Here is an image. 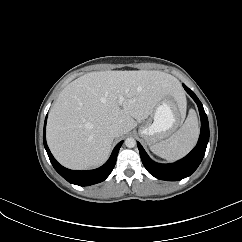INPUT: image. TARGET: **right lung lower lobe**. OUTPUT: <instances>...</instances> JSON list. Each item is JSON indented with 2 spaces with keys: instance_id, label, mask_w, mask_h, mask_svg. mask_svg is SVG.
<instances>
[{
  "instance_id": "1",
  "label": "right lung lower lobe",
  "mask_w": 242,
  "mask_h": 242,
  "mask_svg": "<svg viewBox=\"0 0 242 242\" xmlns=\"http://www.w3.org/2000/svg\"><path fill=\"white\" fill-rule=\"evenodd\" d=\"M46 120L47 116L45 119L44 123V132H43V142H44V147L47 151V154L49 156V159L55 168V170L68 182L72 184H76L79 186H89L93 185L99 182L104 181L112 172L116 159H117V154L118 151L123 143V141L119 142L116 147L114 148L109 160L100 168H97L95 170H89V171H74V170H69L62 165H60L53 155L51 154L47 143H46V135H45V128H46Z\"/></svg>"
}]
</instances>
